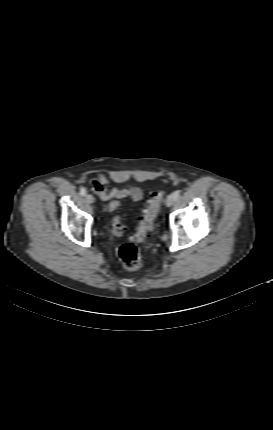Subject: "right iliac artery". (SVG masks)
<instances>
[{
    "instance_id": "obj_1",
    "label": "right iliac artery",
    "mask_w": 273,
    "mask_h": 430,
    "mask_svg": "<svg viewBox=\"0 0 273 430\" xmlns=\"http://www.w3.org/2000/svg\"><path fill=\"white\" fill-rule=\"evenodd\" d=\"M86 193H87V190H86L85 188H81V190H80V194H81L82 196H85V195H86Z\"/></svg>"
}]
</instances>
